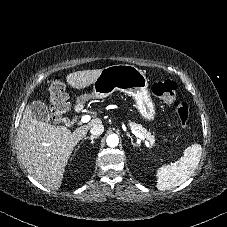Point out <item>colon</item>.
Listing matches in <instances>:
<instances>
[{
  "label": "colon",
  "mask_w": 227,
  "mask_h": 227,
  "mask_svg": "<svg viewBox=\"0 0 227 227\" xmlns=\"http://www.w3.org/2000/svg\"><path fill=\"white\" fill-rule=\"evenodd\" d=\"M50 115L54 121H59L67 112L68 103L66 99L65 86L59 77L48 81ZM152 92L160 100L171 103L177 94V85L172 80L157 81L152 84ZM174 111L181 125L187 126L189 121V106L186 102L176 101Z\"/></svg>",
  "instance_id": "obj_1"
}]
</instances>
